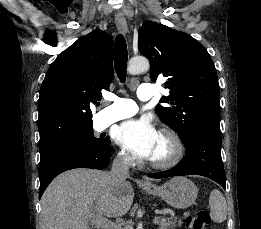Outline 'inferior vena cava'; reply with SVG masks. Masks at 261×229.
Here are the masks:
<instances>
[{
    "label": "inferior vena cava",
    "mask_w": 261,
    "mask_h": 229,
    "mask_svg": "<svg viewBox=\"0 0 261 229\" xmlns=\"http://www.w3.org/2000/svg\"><path fill=\"white\" fill-rule=\"evenodd\" d=\"M130 165V159L125 157V155H118V157H115L112 163V169L109 173V177H111L115 187H117V185H122L125 179L129 177L128 173Z\"/></svg>",
    "instance_id": "602c4592"
}]
</instances>
